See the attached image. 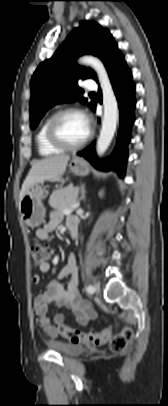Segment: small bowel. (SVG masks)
Wrapping results in <instances>:
<instances>
[{"label": "small bowel", "instance_id": "obj_1", "mask_svg": "<svg viewBox=\"0 0 168 406\" xmlns=\"http://www.w3.org/2000/svg\"><path fill=\"white\" fill-rule=\"evenodd\" d=\"M62 220L63 214L61 212L52 211L49 221L37 230V238L44 241L49 240L51 233L61 224ZM70 221H76V218L68 216L66 219L67 226ZM49 270L50 264L48 262L40 266V271L43 273H47ZM64 277L69 278L66 287L61 283ZM40 281L41 277L39 274L32 276L33 283L39 284ZM51 302H55L59 309H69L80 325H85L96 317L91 304L80 295L77 257L75 254L69 256L66 266L58 273L55 279L45 286L43 293L35 296L33 300L37 323L49 336L57 337L59 332L47 317L48 304ZM65 321V315L58 311L54 316V323H64Z\"/></svg>", "mask_w": 168, "mask_h": 406}]
</instances>
